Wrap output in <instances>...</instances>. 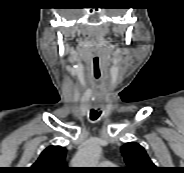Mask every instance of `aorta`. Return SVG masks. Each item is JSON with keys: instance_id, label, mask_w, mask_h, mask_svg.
Here are the masks:
<instances>
[{"instance_id": "1", "label": "aorta", "mask_w": 184, "mask_h": 173, "mask_svg": "<svg viewBox=\"0 0 184 173\" xmlns=\"http://www.w3.org/2000/svg\"><path fill=\"white\" fill-rule=\"evenodd\" d=\"M101 154L100 145L94 141H89L77 154L74 164L79 167H96Z\"/></svg>"}]
</instances>
